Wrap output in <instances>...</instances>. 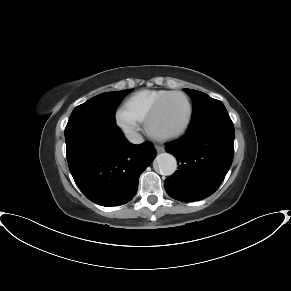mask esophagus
Wrapping results in <instances>:
<instances>
[{"instance_id":"34e87169","label":"esophagus","mask_w":291,"mask_h":291,"mask_svg":"<svg viewBox=\"0 0 291 291\" xmlns=\"http://www.w3.org/2000/svg\"><path fill=\"white\" fill-rule=\"evenodd\" d=\"M155 149H156V151L159 152V153L164 151V147H163V146H159V145H156V146H155Z\"/></svg>"}]
</instances>
